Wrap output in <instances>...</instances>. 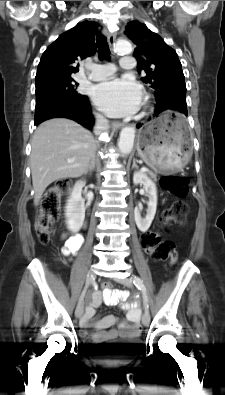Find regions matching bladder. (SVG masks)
Returning <instances> with one entry per match:
<instances>
[{
    "label": "bladder",
    "instance_id": "31cf9c89",
    "mask_svg": "<svg viewBox=\"0 0 225 395\" xmlns=\"http://www.w3.org/2000/svg\"><path fill=\"white\" fill-rule=\"evenodd\" d=\"M142 347V341L139 338L124 341L116 347V354L119 357H128L138 352Z\"/></svg>",
    "mask_w": 225,
    "mask_h": 395
}]
</instances>
